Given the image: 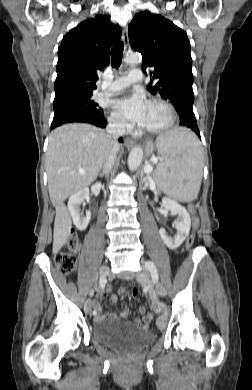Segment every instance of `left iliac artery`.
Masks as SVG:
<instances>
[{
    "instance_id": "44dca946",
    "label": "left iliac artery",
    "mask_w": 252,
    "mask_h": 390,
    "mask_svg": "<svg viewBox=\"0 0 252 390\" xmlns=\"http://www.w3.org/2000/svg\"><path fill=\"white\" fill-rule=\"evenodd\" d=\"M145 267L150 271L153 282L157 283L158 279H159V276H158V273H157V270H156V267H155L154 263L152 261H146L145 262ZM160 305L162 307L165 306L163 303H160Z\"/></svg>"
}]
</instances>
